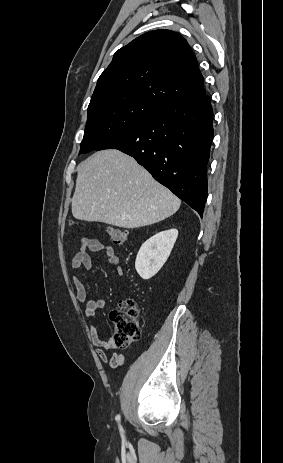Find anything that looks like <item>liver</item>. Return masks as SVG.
<instances>
[{"instance_id":"obj_1","label":"liver","mask_w":283,"mask_h":463,"mask_svg":"<svg viewBox=\"0 0 283 463\" xmlns=\"http://www.w3.org/2000/svg\"><path fill=\"white\" fill-rule=\"evenodd\" d=\"M180 205L178 197L121 151H98L78 167L72 197L78 220L132 229L158 223Z\"/></svg>"}]
</instances>
